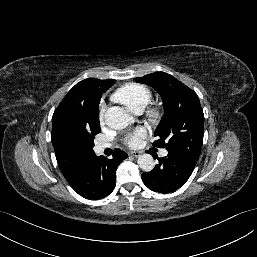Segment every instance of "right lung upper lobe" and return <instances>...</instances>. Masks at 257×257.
Here are the masks:
<instances>
[{"mask_svg": "<svg viewBox=\"0 0 257 257\" xmlns=\"http://www.w3.org/2000/svg\"><path fill=\"white\" fill-rule=\"evenodd\" d=\"M115 82L95 78L80 81L67 93L53 114L51 141L57 163L68 182L76 177L84 163L94 154L93 150L76 140L92 124L87 102L96 95H102Z\"/></svg>", "mask_w": 257, "mask_h": 257, "instance_id": "cb5924a9", "label": "right lung upper lobe"}]
</instances>
